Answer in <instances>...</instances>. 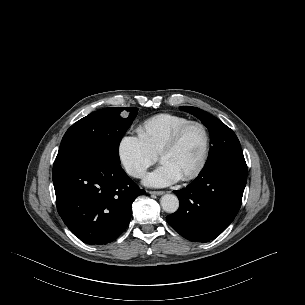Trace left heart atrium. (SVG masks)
Returning <instances> with one entry per match:
<instances>
[{
  "label": "left heart atrium",
  "instance_id": "1",
  "mask_svg": "<svg viewBox=\"0 0 305 305\" xmlns=\"http://www.w3.org/2000/svg\"><path fill=\"white\" fill-rule=\"evenodd\" d=\"M181 177L169 165L162 163L145 179V184L152 187H164L177 182Z\"/></svg>",
  "mask_w": 305,
  "mask_h": 305
}]
</instances>
